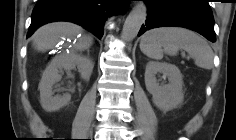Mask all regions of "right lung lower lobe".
I'll use <instances>...</instances> for the list:
<instances>
[{
    "label": "right lung lower lobe",
    "mask_w": 236,
    "mask_h": 140,
    "mask_svg": "<svg viewBox=\"0 0 236 140\" xmlns=\"http://www.w3.org/2000/svg\"><path fill=\"white\" fill-rule=\"evenodd\" d=\"M130 0H38L27 37L40 26L53 21H69L83 26L99 39L103 36L105 20L124 13Z\"/></svg>",
    "instance_id": "right-lung-lower-lobe-1"
}]
</instances>
